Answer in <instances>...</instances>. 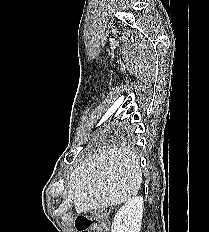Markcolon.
<instances>
[{
  "instance_id": "5ec220e1",
  "label": "colon",
  "mask_w": 209,
  "mask_h": 232,
  "mask_svg": "<svg viewBox=\"0 0 209 232\" xmlns=\"http://www.w3.org/2000/svg\"><path fill=\"white\" fill-rule=\"evenodd\" d=\"M110 210L108 208L96 209L76 218V228L80 232H108Z\"/></svg>"
}]
</instances>
